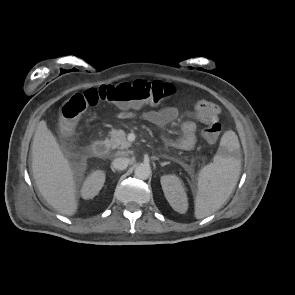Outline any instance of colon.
Segmentation results:
<instances>
[{
    "instance_id": "colon-1",
    "label": "colon",
    "mask_w": 295,
    "mask_h": 295,
    "mask_svg": "<svg viewBox=\"0 0 295 295\" xmlns=\"http://www.w3.org/2000/svg\"><path fill=\"white\" fill-rule=\"evenodd\" d=\"M176 92L172 84L161 81L135 80L115 85H103L78 93L67 99L60 108L59 129L62 134L72 132L77 119L89 107L100 102L112 103L119 108H140L158 105ZM221 131L218 121L207 124L202 135L208 142H215Z\"/></svg>"
}]
</instances>
